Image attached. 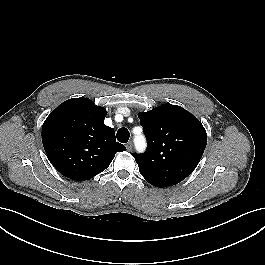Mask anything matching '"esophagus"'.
Returning a JSON list of instances; mask_svg holds the SVG:
<instances>
[{
    "mask_svg": "<svg viewBox=\"0 0 265 265\" xmlns=\"http://www.w3.org/2000/svg\"><path fill=\"white\" fill-rule=\"evenodd\" d=\"M132 146H133L132 142L129 141V142L126 144V149H127V151L130 152V151L132 150Z\"/></svg>",
    "mask_w": 265,
    "mask_h": 265,
    "instance_id": "34e87169",
    "label": "esophagus"
}]
</instances>
